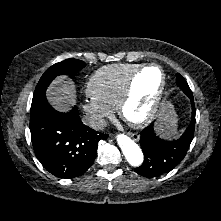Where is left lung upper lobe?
Listing matches in <instances>:
<instances>
[{"label": "left lung upper lobe", "instance_id": "left-lung-upper-lobe-1", "mask_svg": "<svg viewBox=\"0 0 221 221\" xmlns=\"http://www.w3.org/2000/svg\"><path fill=\"white\" fill-rule=\"evenodd\" d=\"M177 85L180 86V88H182L185 91V94L188 97L193 96L192 92L188 86V83L185 81V79L180 74L177 75Z\"/></svg>", "mask_w": 221, "mask_h": 221}]
</instances>
